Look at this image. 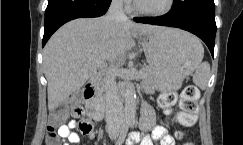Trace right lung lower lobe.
Instances as JSON below:
<instances>
[{
    "label": "right lung lower lobe",
    "instance_id": "right-lung-lower-lobe-1",
    "mask_svg": "<svg viewBox=\"0 0 243 145\" xmlns=\"http://www.w3.org/2000/svg\"><path fill=\"white\" fill-rule=\"evenodd\" d=\"M111 0H49L45 11L43 46L64 23L80 17H98L106 13Z\"/></svg>",
    "mask_w": 243,
    "mask_h": 145
}]
</instances>
